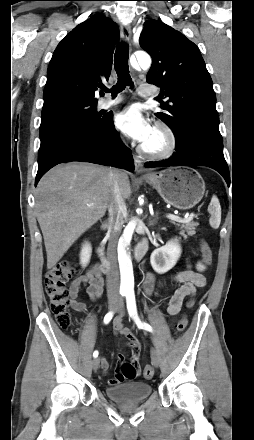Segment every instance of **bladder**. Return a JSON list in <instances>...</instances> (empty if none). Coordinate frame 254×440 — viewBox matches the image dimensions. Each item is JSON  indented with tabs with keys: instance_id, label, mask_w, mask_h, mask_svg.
<instances>
[{
	"instance_id": "31cf9c89",
	"label": "bladder",
	"mask_w": 254,
	"mask_h": 440,
	"mask_svg": "<svg viewBox=\"0 0 254 440\" xmlns=\"http://www.w3.org/2000/svg\"><path fill=\"white\" fill-rule=\"evenodd\" d=\"M107 396L121 404H134L146 400L153 392L152 385L148 382H132L105 389Z\"/></svg>"
}]
</instances>
